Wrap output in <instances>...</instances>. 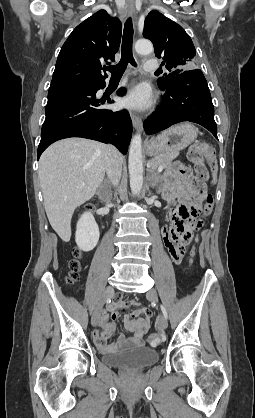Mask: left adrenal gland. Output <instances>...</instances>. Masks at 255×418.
<instances>
[{
	"mask_svg": "<svg viewBox=\"0 0 255 418\" xmlns=\"http://www.w3.org/2000/svg\"><path fill=\"white\" fill-rule=\"evenodd\" d=\"M147 171H148L149 173H153V172H154L151 168H148V169H147ZM159 177H160V176L158 175V178H159ZM149 184L151 185V187H152V188H154V187L156 186V184H157V181L152 182V179H150V178H149Z\"/></svg>",
	"mask_w": 255,
	"mask_h": 418,
	"instance_id": "left-adrenal-gland-1",
	"label": "left adrenal gland"
}]
</instances>
